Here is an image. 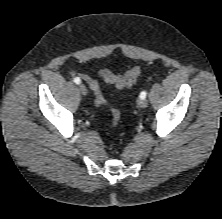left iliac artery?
<instances>
[{"label":"left iliac artery","mask_w":222,"mask_h":219,"mask_svg":"<svg viewBox=\"0 0 222 219\" xmlns=\"http://www.w3.org/2000/svg\"><path fill=\"white\" fill-rule=\"evenodd\" d=\"M146 95H147V92H146V91H142V92L140 93V98H141V99H145V98H146Z\"/></svg>","instance_id":"1"}]
</instances>
